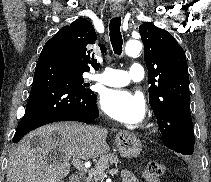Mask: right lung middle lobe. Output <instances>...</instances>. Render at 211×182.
I'll list each match as a JSON object with an SVG mask.
<instances>
[{"mask_svg": "<svg viewBox=\"0 0 211 182\" xmlns=\"http://www.w3.org/2000/svg\"><path fill=\"white\" fill-rule=\"evenodd\" d=\"M74 72H75V77H76V80L82 85V89L87 92V93H90V94H93L94 92L91 90V89H88V87L90 86L89 83H84V78H83V73L84 72H87L83 69H80L79 67L77 66H74Z\"/></svg>", "mask_w": 211, "mask_h": 182, "instance_id": "dd1d6c3e", "label": "right lung middle lobe"}]
</instances>
